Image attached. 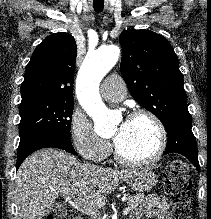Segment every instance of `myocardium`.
<instances>
[{
  "mask_svg": "<svg viewBox=\"0 0 211 219\" xmlns=\"http://www.w3.org/2000/svg\"><path fill=\"white\" fill-rule=\"evenodd\" d=\"M145 117L148 118L153 122L155 125L157 131H158V144L157 148L154 151L152 155H150L147 158L144 159H129L125 157L118 149V147L114 146V156L115 159L126 166H132V167H140V166H146L149 164H152L160 159V157L163 155L166 147H167V131L166 128L162 122V120L153 112L146 110V109H139L134 112H132L128 116V121L130 120H136L138 118Z\"/></svg>",
  "mask_w": 211,
  "mask_h": 219,
  "instance_id": "myocardium-1",
  "label": "myocardium"
}]
</instances>
